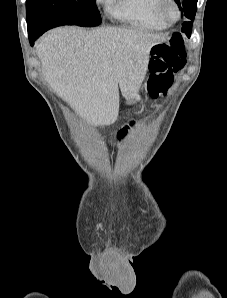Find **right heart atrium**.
<instances>
[{
  "instance_id": "obj_1",
  "label": "right heart atrium",
  "mask_w": 227,
  "mask_h": 298,
  "mask_svg": "<svg viewBox=\"0 0 227 298\" xmlns=\"http://www.w3.org/2000/svg\"><path fill=\"white\" fill-rule=\"evenodd\" d=\"M106 0H98V2L104 3Z\"/></svg>"
}]
</instances>
